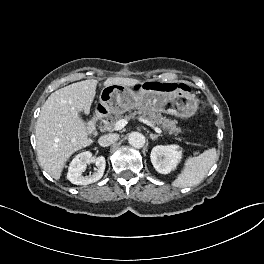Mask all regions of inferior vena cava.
Returning <instances> with one entry per match:
<instances>
[{"mask_svg":"<svg viewBox=\"0 0 264 264\" xmlns=\"http://www.w3.org/2000/svg\"><path fill=\"white\" fill-rule=\"evenodd\" d=\"M118 140V136L116 134H106L99 138L98 143L102 147H108L115 143Z\"/></svg>","mask_w":264,"mask_h":264,"instance_id":"1","label":"inferior vena cava"}]
</instances>
